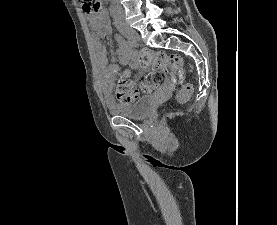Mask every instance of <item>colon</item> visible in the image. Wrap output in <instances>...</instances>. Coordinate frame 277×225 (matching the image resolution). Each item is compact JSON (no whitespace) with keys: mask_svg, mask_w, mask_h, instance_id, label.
Listing matches in <instances>:
<instances>
[{"mask_svg":"<svg viewBox=\"0 0 277 225\" xmlns=\"http://www.w3.org/2000/svg\"><path fill=\"white\" fill-rule=\"evenodd\" d=\"M83 2V8L87 13H97L101 9L98 0H79ZM133 62L139 67L150 68L151 72L145 77L140 87L129 79V72L125 71L117 83L115 95L119 102H132L139 94L157 92L165 82L167 74L172 75L180 84L177 101L184 104L192 95L193 88L184 83L185 69L182 57L178 54H165L149 49L139 52Z\"/></svg>","mask_w":277,"mask_h":225,"instance_id":"colon-1","label":"colon"}]
</instances>
